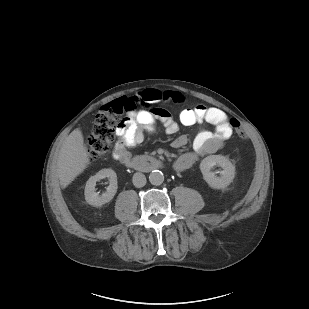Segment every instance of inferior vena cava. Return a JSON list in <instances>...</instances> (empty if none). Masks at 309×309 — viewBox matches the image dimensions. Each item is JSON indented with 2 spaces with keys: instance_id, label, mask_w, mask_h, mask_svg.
Masks as SVG:
<instances>
[{
  "instance_id": "inferior-vena-cava-1",
  "label": "inferior vena cava",
  "mask_w": 309,
  "mask_h": 309,
  "mask_svg": "<svg viewBox=\"0 0 309 309\" xmlns=\"http://www.w3.org/2000/svg\"><path fill=\"white\" fill-rule=\"evenodd\" d=\"M132 181L135 187L140 188L146 185L147 180L143 173L137 172L133 175Z\"/></svg>"
}]
</instances>
